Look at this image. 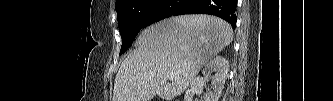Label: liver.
<instances>
[{
	"label": "liver",
	"mask_w": 333,
	"mask_h": 101,
	"mask_svg": "<svg viewBox=\"0 0 333 101\" xmlns=\"http://www.w3.org/2000/svg\"><path fill=\"white\" fill-rule=\"evenodd\" d=\"M232 40V27L210 15L176 16L147 27L116 74L113 101H150L156 95L172 101Z\"/></svg>",
	"instance_id": "6515ba94"
}]
</instances>
